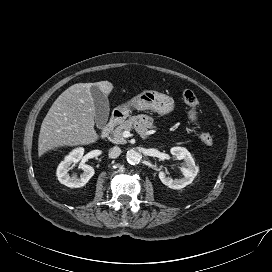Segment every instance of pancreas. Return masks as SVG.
I'll use <instances>...</instances> for the list:
<instances>
[{"mask_svg": "<svg viewBox=\"0 0 272 272\" xmlns=\"http://www.w3.org/2000/svg\"><path fill=\"white\" fill-rule=\"evenodd\" d=\"M140 116H132L119 126H117L111 134V141L115 144H126L127 141L123 136L124 131H131L139 124Z\"/></svg>", "mask_w": 272, "mask_h": 272, "instance_id": "cf45deb5", "label": "pancreas"}]
</instances>
